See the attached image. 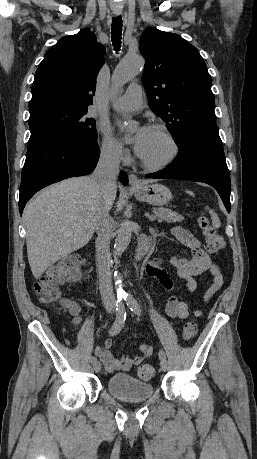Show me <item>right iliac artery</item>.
<instances>
[{
    "label": "right iliac artery",
    "mask_w": 257,
    "mask_h": 459,
    "mask_svg": "<svg viewBox=\"0 0 257 459\" xmlns=\"http://www.w3.org/2000/svg\"><path fill=\"white\" fill-rule=\"evenodd\" d=\"M125 319H126V311H125L124 304L122 302V297H118V300L116 302V320L113 326L111 327V329L109 330V334L111 336H114L121 331V329L124 326ZM90 361L91 363H95L97 362V358L95 356H92Z\"/></svg>",
    "instance_id": "obj_1"
}]
</instances>
